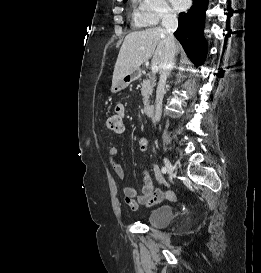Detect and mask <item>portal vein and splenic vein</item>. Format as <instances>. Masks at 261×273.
I'll return each mask as SVG.
<instances>
[{"instance_id": "portal-vein-and-splenic-vein-1", "label": "portal vein and splenic vein", "mask_w": 261, "mask_h": 273, "mask_svg": "<svg viewBox=\"0 0 261 273\" xmlns=\"http://www.w3.org/2000/svg\"><path fill=\"white\" fill-rule=\"evenodd\" d=\"M142 49H143V48H142ZM158 69H159V67H158L157 64H153L152 67H151L152 73H157V72H158Z\"/></svg>"}]
</instances>
